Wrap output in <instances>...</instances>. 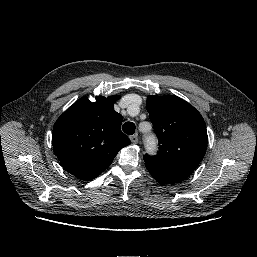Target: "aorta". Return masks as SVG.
<instances>
[{"label": "aorta", "mask_w": 257, "mask_h": 257, "mask_svg": "<svg viewBox=\"0 0 257 257\" xmlns=\"http://www.w3.org/2000/svg\"><path fill=\"white\" fill-rule=\"evenodd\" d=\"M145 147L149 153H153L156 150V142L151 139H147Z\"/></svg>", "instance_id": "762f6f07"}]
</instances>
